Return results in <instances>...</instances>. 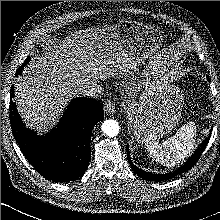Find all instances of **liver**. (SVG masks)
Listing matches in <instances>:
<instances>
[{
  "mask_svg": "<svg viewBox=\"0 0 220 220\" xmlns=\"http://www.w3.org/2000/svg\"><path fill=\"white\" fill-rule=\"evenodd\" d=\"M130 67L116 27L67 35L35 57L16 79L15 100L24 122L38 132L53 124L70 97Z\"/></svg>",
  "mask_w": 220,
  "mask_h": 220,
  "instance_id": "obj_1",
  "label": "liver"
}]
</instances>
